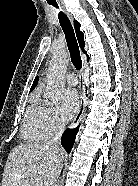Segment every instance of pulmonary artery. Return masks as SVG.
<instances>
[{
  "mask_svg": "<svg viewBox=\"0 0 138 186\" xmlns=\"http://www.w3.org/2000/svg\"><path fill=\"white\" fill-rule=\"evenodd\" d=\"M65 80L66 82L71 85V86H75L78 84V79H77V76L76 74L74 73H68L66 76H65Z\"/></svg>",
  "mask_w": 138,
  "mask_h": 186,
  "instance_id": "obj_1",
  "label": "pulmonary artery"
}]
</instances>
